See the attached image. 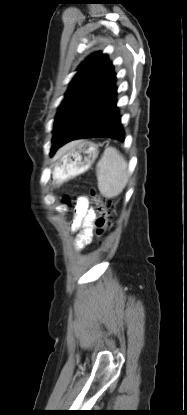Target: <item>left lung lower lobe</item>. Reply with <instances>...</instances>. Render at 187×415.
Here are the masks:
<instances>
[{
	"instance_id": "0a47b994",
	"label": "left lung lower lobe",
	"mask_w": 187,
	"mask_h": 415,
	"mask_svg": "<svg viewBox=\"0 0 187 415\" xmlns=\"http://www.w3.org/2000/svg\"><path fill=\"white\" fill-rule=\"evenodd\" d=\"M116 75L111 62L92 85L83 108L66 130L58 146L82 138H112L124 141L125 133L116 107ZM56 151L52 152L54 155Z\"/></svg>"
}]
</instances>
